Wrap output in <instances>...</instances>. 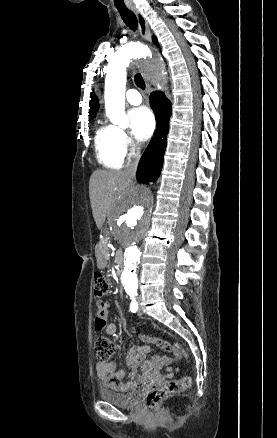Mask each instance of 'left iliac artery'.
I'll return each instance as SVG.
<instances>
[{
  "instance_id": "left-iliac-artery-1",
  "label": "left iliac artery",
  "mask_w": 277,
  "mask_h": 438,
  "mask_svg": "<svg viewBox=\"0 0 277 438\" xmlns=\"http://www.w3.org/2000/svg\"><path fill=\"white\" fill-rule=\"evenodd\" d=\"M131 303H130V311L136 313L138 310V303L136 301L135 295H130Z\"/></svg>"
}]
</instances>
